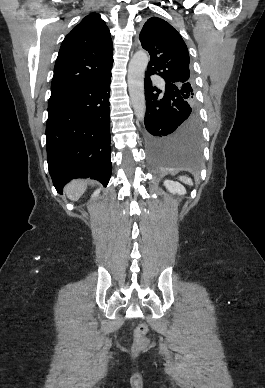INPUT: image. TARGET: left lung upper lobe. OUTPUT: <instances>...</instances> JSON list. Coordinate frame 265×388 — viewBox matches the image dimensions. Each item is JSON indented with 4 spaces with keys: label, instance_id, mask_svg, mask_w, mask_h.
I'll list each match as a JSON object with an SVG mask.
<instances>
[{
    "label": "left lung upper lobe",
    "instance_id": "1",
    "mask_svg": "<svg viewBox=\"0 0 265 388\" xmlns=\"http://www.w3.org/2000/svg\"><path fill=\"white\" fill-rule=\"evenodd\" d=\"M139 39L142 47L150 54L147 72L176 85L184 101L195 107L189 53L181 35L168 22L152 17L145 22Z\"/></svg>",
    "mask_w": 265,
    "mask_h": 388
}]
</instances>
